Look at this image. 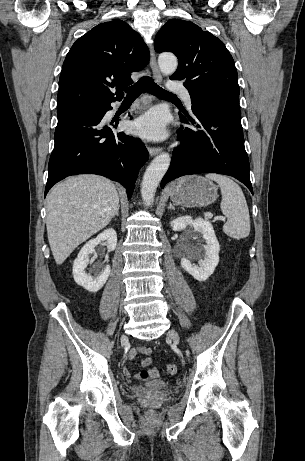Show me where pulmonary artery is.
Returning <instances> with one entry per match:
<instances>
[{
  "label": "pulmonary artery",
  "instance_id": "obj_1",
  "mask_svg": "<svg viewBox=\"0 0 305 461\" xmlns=\"http://www.w3.org/2000/svg\"><path fill=\"white\" fill-rule=\"evenodd\" d=\"M170 90L173 91V92L179 93L181 95V97L183 98L185 104L189 108L192 106L191 96H190L188 90L185 87H183L181 85H171Z\"/></svg>",
  "mask_w": 305,
  "mask_h": 461
}]
</instances>
